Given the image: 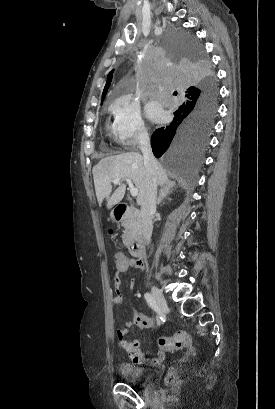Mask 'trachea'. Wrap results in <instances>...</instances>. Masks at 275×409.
I'll return each instance as SVG.
<instances>
[{"label": "trachea", "instance_id": "trachea-1", "mask_svg": "<svg viewBox=\"0 0 275 409\" xmlns=\"http://www.w3.org/2000/svg\"><path fill=\"white\" fill-rule=\"evenodd\" d=\"M174 95H177V92H174Z\"/></svg>", "mask_w": 275, "mask_h": 409}]
</instances>
